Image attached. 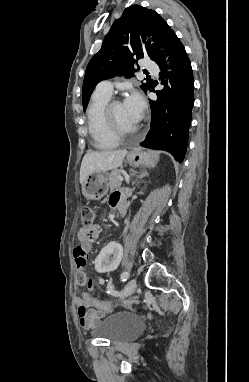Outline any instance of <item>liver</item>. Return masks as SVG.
<instances>
[{
  "label": "liver",
  "instance_id": "6515ba94",
  "mask_svg": "<svg viewBox=\"0 0 249 382\" xmlns=\"http://www.w3.org/2000/svg\"><path fill=\"white\" fill-rule=\"evenodd\" d=\"M127 150L89 151L82 159L80 167V183L83 185L88 175L98 171L116 169L122 165Z\"/></svg>",
  "mask_w": 249,
  "mask_h": 382
}]
</instances>
